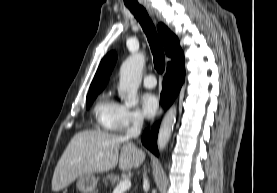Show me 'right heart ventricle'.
I'll use <instances>...</instances> for the list:
<instances>
[{"label":"right heart ventricle","mask_w":277,"mask_h":193,"mask_svg":"<svg viewBox=\"0 0 277 193\" xmlns=\"http://www.w3.org/2000/svg\"><path fill=\"white\" fill-rule=\"evenodd\" d=\"M119 105L109 97H103L94 107L97 126L107 131L117 129V112Z\"/></svg>","instance_id":"right-heart-ventricle-1"}]
</instances>
